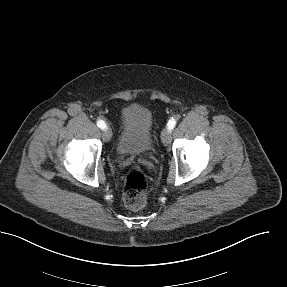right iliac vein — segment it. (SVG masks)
<instances>
[{
  "label": "right iliac vein",
  "instance_id": "obj_1",
  "mask_svg": "<svg viewBox=\"0 0 287 287\" xmlns=\"http://www.w3.org/2000/svg\"><path fill=\"white\" fill-rule=\"evenodd\" d=\"M111 137H112L111 129L110 128L104 129L103 133H102L103 140L108 142V141H110Z\"/></svg>",
  "mask_w": 287,
  "mask_h": 287
}]
</instances>
